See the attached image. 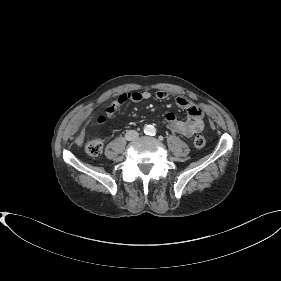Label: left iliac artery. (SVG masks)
I'll use <instances>...</instances> for the list:
<instances>
[{
	"mask_svg": "<svg viewBox=\"0 0 281 281\" xmlns=\"http://www.w3.org/2000/svg\"><path fill=\"white\" fill-rule=\"evenodd\" d=\"M155 133H156V130H155V129H154V130H152V134H153V135H155Z\"/></svg>",
	"mask_w": 281,
	"mask_h": 281,
	"instance_id": "1",
	"label": "left iliac artery"
}]
</instances>
